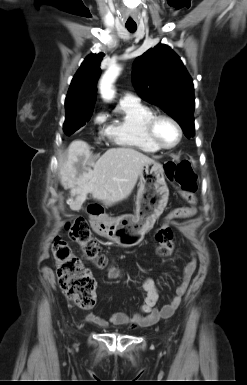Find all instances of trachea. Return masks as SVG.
I'll use <instances>...</instances> for the list:
<instances>
[{
	"label": "trachea",
	"mask_w": 247,
	"mask_h": 385,
	"mask_svg": "<svg viewBox=\"0 0 247 385\" xmlns=\"http://www.w3.org/2000/svg\"><path fill=\"white\" fill-rule=\"evenodd\" d=\"M126 28L129 32L133 33L137 29V25H126Z\"/></svg>",
	"instance_id": "3493384b"
}]
</instances>
